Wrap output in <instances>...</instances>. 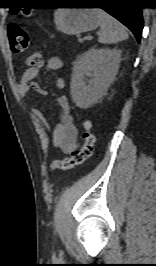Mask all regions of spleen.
I'll use <instances>...</instances> for the list:
<instances>
[{
  "label": "spleen",
  "instance_id": "obj_1",
  "mask_svg": "<svg viewBox=\"0 0 156 266\" xmlns=\"http://www.w3.org/2000/svg\"><path fill=\"white\" fill-rule=\"evenodd\" d=\"M97 13L100 19L99 43L114 44L128 38L125 27L119 21L101 9H97Z\"/></svg>",
  "mask_w": 156,
  "mask_h": 266
}]
</instances>
